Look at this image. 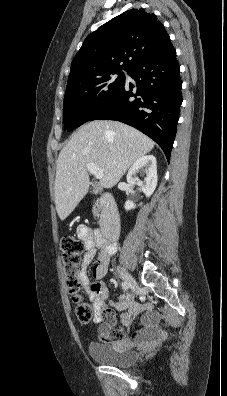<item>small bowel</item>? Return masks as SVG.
Instances as JSON below:
<instances>
[{
	"instance_id": "c3829d8e",
	"label": "small bowel",
	"mask_w": 227,
	"mask_h": 396,
	"mask_svg": "<svg viewBox=\"0 0 227 396\" xmlns=\"http://www.w3.org/2000/svg\"><path fill=\"white\" fill-rule=\"evenodd\" d=\"M78 236L85 242L86 253L84 255L78 278L93 304L96 313L94 322L97 323V336L100 340L108 343H120L134 341L143 347H153L166 338L167 332L158 327L159 314L150 304L137 303L129 294L120 295L117 301L109 298L107 285L102 281L106 275L111 257L116 253V244H104L98 237V233L92 228L81 225L77 230ZM96 257L93 267V281L88 275V266ZM121 312L120 327L115 328L116 314L109 307ZM142 315L143 329L131 332L130 327L136 317Z\"/></svg>"
}]
</instances>
